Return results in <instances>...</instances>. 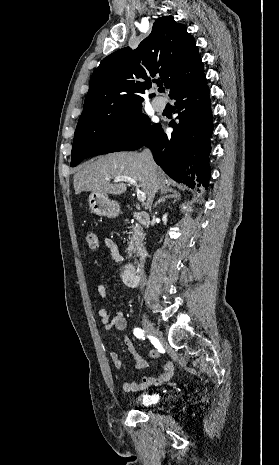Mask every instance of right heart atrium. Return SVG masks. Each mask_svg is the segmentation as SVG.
Segmentation results:
<instances>
[{
	"label": "right heart atrium",
	"instance_id": "1",
	"mask_svg": "<svg viewBox=\"0 0 279 465\" xmlns=\"http://www.w3.org/2000/svg\"><path fill=\"white\" fill-rule=\"evenodd\" d=\"M138 127V123L135 118L128 117L121 124V131L123 134L133 132Z\"/></svg>",
	"mask_w": 279,
	"mask_h": 465
}]
</instances>
